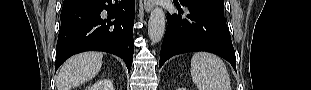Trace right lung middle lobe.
I'll use <instances>...</instances> for the list:
<instances>
[{
  "mask_svg": "<svg viewBox=\"0 0 311 90\" xmlns=\"http://www.w3.org/2000/svg\"><path fill=\"white\" fill-rule=\"evenodd\" d=\"M74 0H64V5L73 2Z\"/></svg>",
  "mask_w": 311,
  "mask_h": 90,
  "instance_id": "right-lung-middle-lobe-1",
  "label": "right lung middle lobe"
}]
</instances>
